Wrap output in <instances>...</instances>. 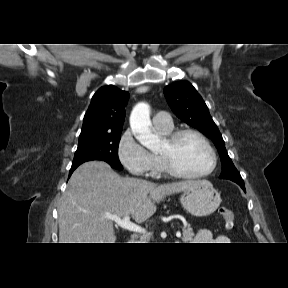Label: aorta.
Here are the masks:
<instances>
[{
	"instance_id": "1",
	"label": "aorta",
	"mask_w": 288,
	"mask_h": 288,
	"mask_svg": "<svg viewBox=\"0 0 288 288\" xmlns=\"http://www.w3.org/2000/svg\"><path fill=\"white\" fill-rule=\"evenodd\" d=\"M150 107L138 103L130 115V127L135 138L146 148L154 150L159 146V139L151 131Z\"/></svg>"
}]
</instances>
